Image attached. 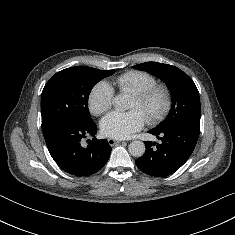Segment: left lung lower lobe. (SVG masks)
I'll return each mask as SVG.
<instances>
[{"instance_id":"1","label":"left lung lower lobe","mask_w":235,"mask_h":235,"mask_svg":"<svg viewBox=\"0 0 235 235\" xmlns=\"http://www.w3.org/2000/svg\"><path fill=\"white\" fill-rule=\"evenodd\" d=\"M200 127L181 125L164 131L150 130L162 143L145 142L144 155L135 161L144 173L165 177L178 170L190 157L198 140Z\"/></svg>"}]
</instances>
